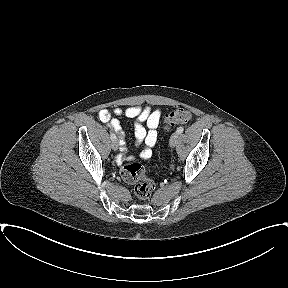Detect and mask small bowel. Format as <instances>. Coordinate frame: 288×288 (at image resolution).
<instances>
[{"label": "small bowel", "mask_w": 288, "mask_h": 288, "mask_svg": "<svg viewBox=\"0 0 288 288\" xmlns=\"http://www.w3.org/2000/svg\"><path fill=\"white\" fill-rule=\"evenodd\" d=\"M99 119L105 123L120 138L121 153L117 157V163L132 159L126 153L125 131L117 117L125 116L135 119L134 134L137 146H141L140 157L148 159L152 155V147L157 142V127L161 118L159 109H151L149 106H132L126 109L115 107L112 110L102 109L98 113ZM145 124V126H144Z\"/></svg>", "instance_id": "obj_1"}]
</instances>
